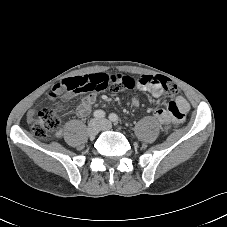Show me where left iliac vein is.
Wrapping results in <instances>:
<instances>
[{
    "instance_id": "1",
    "label": "left iliac vein",
    "mask_w": 227,
    "mask_h": 227,
    "mask_svg": "<svg viewBox=\"0 0 227 227\" xmlns=\"http://www.w3.org/2000/svg\"><path fill=\"white\" fill-rule=\"evenodd\" d=\"M99 124L102 130H110L112 128L111 123L106 119L100 120Z\"/></svg>"
}]
</instances>
